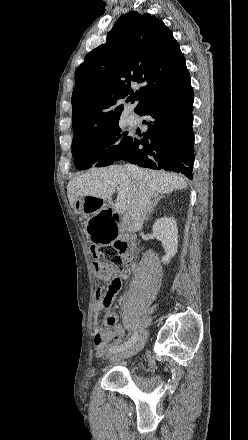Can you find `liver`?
Wrapping results in <instances>:
<instances>
[{"instance_id": "obj_1", "label": "liver", "mask_w": 248, "mask_h": 440, "mask_svg": "<svg viewBox=\"0 0 248 440\" xmlns=\"http://www.w3.org/2000/svg\"><path fill=\"white\" fill-rule=\"evenodd\" d=\"M139 170L151 197L187 188L185 179L180 175L150 169ZM116 188L118 189L117 200L127 211L138 189V181L127 173L126 167L121 165L93 168L73 178L68 183L67 196L71 207L75 208V202L80 197L107 199Z\"/></svg>"}]
</instances>
